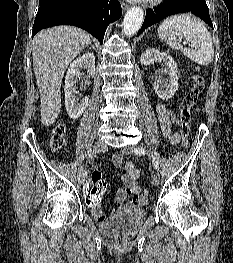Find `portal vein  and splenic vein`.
I'll return each mask as SVG.
<instances>
[{
  "label": "portal vein and splenic vein",
  "instance_id": "18ae733b",
  "mask_svg": "<svg viewBox=\"0 0 233 263\" xmlns=\"http://www.w3.org/2000/svg\"><path fill=\"white\" fill-rule=\"evenodd\" d=\"M178 41H179V42H182V38H180Z\"/></svg>",
  "mask_w": 233,
  "mask_h": 263
}]
</instances>
